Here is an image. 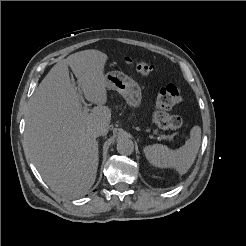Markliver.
Masks as SVG:
<instances>
[{"label": "liver", "mask_w": 246, "mask_h": 246, "mask_svg": "<svg viewBox=\"0 0 246 246\" xmlns=\"http://www.w3.org/2000/svg\"><path fill=\"white\" fill-rule=\"evenodd\" d=\"M107 60L98 50L69 55L53 66L29 102L25 149L44 181L57 193L81 196L95 182L99 156L92 129L103 126L107 133L111 120V110L105 106ZM69 66L86 100L97 105L90 113L83 112Z\"/></svg>", "instance_id": "liver-1"}]
</instances>
